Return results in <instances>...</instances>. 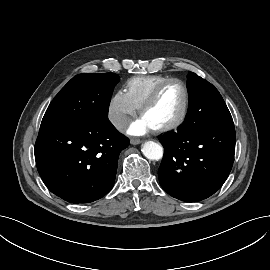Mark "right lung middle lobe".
<instances>
[{"instance_id": "dd1d6c3e", "label": "right lung middle lobe", "mask_w": 270, "mask_h": 270, "mask_svg": "<svg viewBox=\"0 0 270 270\" xmlns=\"http://www.w3.org/2000/svg\"><path fill=\"white\" fill-rule=\"evenodd\" d=\"M119 78L114 73L75 76L50 103L41 125L80 124L107 118L112 92Z\"/></svg>"}]
</instances>
